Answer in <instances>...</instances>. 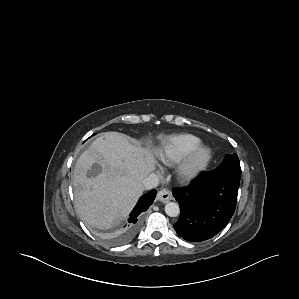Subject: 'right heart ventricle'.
Returning a JSON list of instances; mask_svg holds the SVG:
<instances>
[{"label": "right heart ventricle", "mask_w": 299, "mask_h": 299, "mask_svg": "<svg viewBox=\"0 0 299 299\" xmlns=\"http://www.w3.org/2000/svg\"><path fill=\"white\" fill-rule=\"evenodd\" d=\"M200 144V139L194 135H173L162 142L158 158L163 164L174 166L183 162Z\"/></svg>", "instance_id": "right-heart-ventricle-1"}]
</instances>
